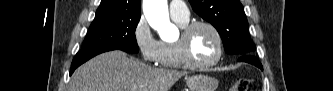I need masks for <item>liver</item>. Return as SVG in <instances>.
I'll return each instance as SVG.
<instances>
[{"instance_id":"obj_1","label":"liver","mask_w":333,"mask_h":91,"mask_svg":"<svg viewBox=\"0 0 333 91\" xmlns=\"http://www.w3.org/2000/svg\"><path fill=\"white\" fill-rule=\"evenodd\" d=\"M185 74L151 67L115 50L80 66L70 79L69 91H168Z\"/></svg>"}]
</instances>
